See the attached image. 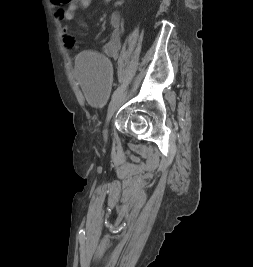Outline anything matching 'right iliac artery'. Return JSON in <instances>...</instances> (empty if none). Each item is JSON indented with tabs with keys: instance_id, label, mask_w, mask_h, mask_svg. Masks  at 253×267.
<instances>
[{
	"instance_id": "obj_1",
	"label": "right iliac artery",
	"mask_w": 253,
	"mask_h": 267,
	"mask_svg": "<svg viewBox=\"0 0 253 267\" xmlns=\"http://www.w3.org/2000/svg\"><path fill=\"white\" fill-rule=\"evenodd\" d=\"M126 81H127V79H124L123 81H122V83H121V85L114 91V93H113V97L115 96V95H117L121 90H123L124 89V87H126Z\"/></svg>"
}]
</instances>
